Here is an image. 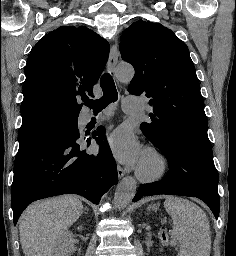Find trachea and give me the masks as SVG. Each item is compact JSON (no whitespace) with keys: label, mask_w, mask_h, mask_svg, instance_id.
Instances as JSON below:
<instances>
[{"label":"trachea","mask_w":236,"mask_h":256,"mask_svg":"<svg viewBox=\"0 0 236 256\" xmlns=\"http://www.w3.org/2000/svg\"><path fill=\"white\" fill-rule=\"evenodd\" d=\"M100 86L103 91V96L99 100H90L86 98L83 100L84 104L91 108L94 113H99L110 103L118 100V93L115 87L112 76L109 73L102 75L100 79Z\"/></svg>","instance_id":"obj_1"}]
</instances>
